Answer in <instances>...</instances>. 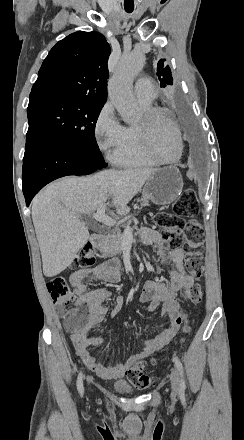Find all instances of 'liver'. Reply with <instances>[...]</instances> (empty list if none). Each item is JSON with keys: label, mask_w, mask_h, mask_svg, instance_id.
Here are the masks:
<instances>
[{"label": "liver", "mask_w": 244, "mask_h": 440, "mask_svg": "<svg viewBox=\"0 0 244 440\" xmlns=\"http://www.w3.org/2000/svg\"><path fill=\"white\" fill-rule=\"evenodd\" d=\"M153 172L156 168L103 170L87 178L66 176L41 190L32 202L31 216L44 276H58L87 244L90 236L78 220L80 214H93L110 206L119 216H126L130 212L127 204ZM110 198L112 202H107Z\"/></svg>", "instance_id": "obj_1"}]
</instances>
